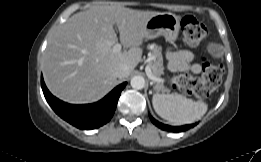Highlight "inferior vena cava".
I'll return each mask as SVG.
<instances>
[{
    "mask_svg": "<svg viewBox=\"0 0 261 162\" xmlns=\"http://www.w3.org/2000/svg\"><path fill=\"white\" fill-rule=\"evenodd\" d=\"M113 74L116 78H125L129 75V68L126 64H121L114 68Z\"/></svg>",
    "mask_w": 261,
    "mask_h": 162,
    "instance_id": "inferior-vena-cava-1",
    "label": "inferior vena cava"
}]
</instances>
